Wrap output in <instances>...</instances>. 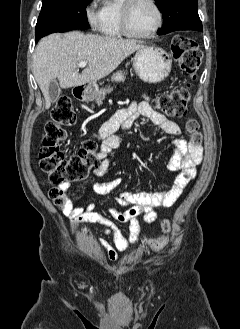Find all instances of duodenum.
<instances>
[{
  "instance_id": "duodenum-1",
  "label": "duodenum",
  "mask_w": 240,
  "mask_h": 329,
  "mask_svg": "<svg viewBox=\"0 0 240 329\" xmlns=\"http://www.w3.org/2000/svg\"><path fill=\"white\" fill-rule=\"evenodd\" d=\"M75 96L80 99V100H84L85 99V92L84 89L80 86H77L75 88Z\"/></svg>"
}]
</instances>
